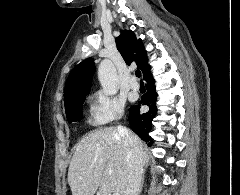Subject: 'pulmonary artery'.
<instances>
[{
  "label": "pulmonary artery",
  "mask_w": 240,
  "mask_h": 195,
  "mask_svg": "<svg viewBox=\"0 0 240 195\" xmlns=\"http://www.w3.org/2000/svg\"><path fill=\"white\" fill-rule=\"evenodd\" d=\"M130 87L133 89V90H139L140 89V84H139V82L136 80V79H132L131 81H130Z\"/></svg>",
  "instance_id": "obj_1"
}]
</instances>
